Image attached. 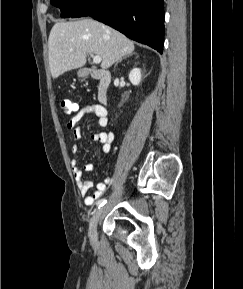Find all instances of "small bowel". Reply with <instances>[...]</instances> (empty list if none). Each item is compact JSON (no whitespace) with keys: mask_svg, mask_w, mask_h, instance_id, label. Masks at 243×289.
Returning <instances> with one entry per match:
<instances>
[{"mask_svg":"<svg viewBox=\"0 0 243 289\" xmlns=\"http://www.w3.org/2000/svg\"><path fill=\"white\" fill-rule=\"evenodd\" d=\"M88 115H94L97 118L98 125L101 128H105L108 125V117L106 109L99 104H87L83 106L76 115L68 122L67 127L72 132L74 140L81 138L80 122ZM92 139L95 142L101 144V150L103 153H109L112 149V143L115 139L113 132H98L92 135ZM79 147L77 145L72 146V152L77 153ZM71 169L75 178L78 191L83 197L84 204L87 206L93 205L99 200L107 190L108 185L111 183V178H107L102 182H98L96 189L92 194H88V191L92 188L93 183L85 180L82 177V169L80 163L73 159L71 160ZM84 171L91 172L94 169L93 164L87 163L83 166Z\"/></svg>","mask_w":243,"mask_h":289,"instance_id":"obj_1","label":"small bowel"}]
</instances>
